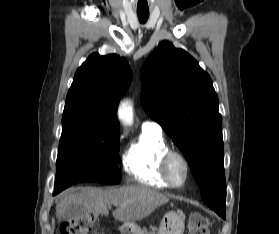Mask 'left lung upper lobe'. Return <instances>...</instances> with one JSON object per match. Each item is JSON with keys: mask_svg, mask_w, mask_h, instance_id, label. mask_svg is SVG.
I'll list each match as a JSON object with an SVG mask.
<instances>
[{"mask_svg": "<svg viewBox=\"0 0 279 234\" xmlns=\"http://www.w3.org/2000/svg\"><path fill=\"white\" fill-rule=\"evenodd\" d=\"M141 82L145 112L186 157L203 202L225 218L222 117L210 76L187 52L163 41L143 64Z\"/></svg>", "mask_w": 279, "mask_h": 234, "instance_id": "1", "label": "left lung upper lobe"}]
</instances>
